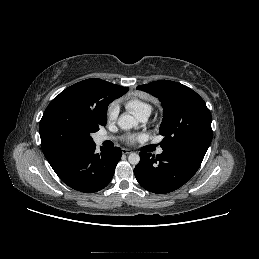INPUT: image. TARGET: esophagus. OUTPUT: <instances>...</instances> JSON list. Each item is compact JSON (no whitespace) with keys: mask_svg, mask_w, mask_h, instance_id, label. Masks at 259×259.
Instances as JSON below:
<instances>
[{"mask_svg":"<svg viewBox=\"0 0 259 259\" xmlns=\"http://www.w3.org/2000/svg\"><path fill=\"white\" fill-rule=\"evenodd\" d=\"M122 153H123V154H131V153H132V150L123 148V149H122Z\"/></svg>","mask_w":259,"mask_h":259,"instance_id":"1","label":"esophagus"}]
</instances>
